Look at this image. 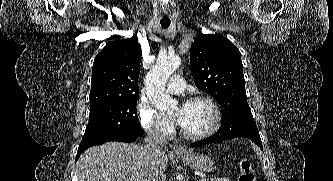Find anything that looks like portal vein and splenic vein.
Returning a JSON list of instances; mask_svg holds the SVG:
<instances>
[{
    "instance_id": "portal-vein-and-splenic-vein-1",
    "label": "portal vein and splenic vein",
    "mask_w": 333,
    "mask_h": 181,
    "mask_svg": "<svg viewBox=\"0 0 333 181\" xmlns=\"http://www.w3.org/2000/svg\"><path fill=\"white\" fill-rule=\"evenodd\" d=\"M201 181H209L208 178H203Z\"/></svg>"
}]
</instances>
